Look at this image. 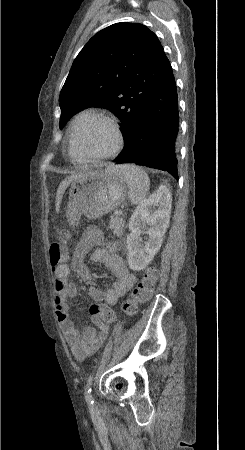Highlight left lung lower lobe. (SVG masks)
Returning a JSON list of instances; mask_svg holds the SVG:
<instances>
[{"mask_svg":"<svg viewBox=\"0 0 245 450\" xmlns=\"http://www.w3.org/2000/svg\"><path fill=\"white\" fill-rule=\"evenodd\" d=\"M178 131V95L169 65L141 107L123 152L113 162L160 169L178 180Z\"/></svg>","mask_w":245,"mask_h":450,"instance_id":"1","label":"left lung lower lobe"}]
</instances>
